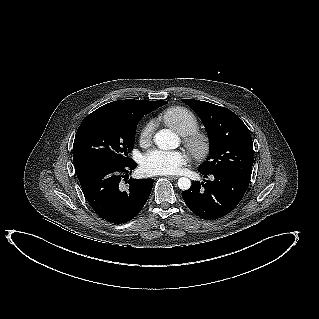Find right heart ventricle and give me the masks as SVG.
Listing matches in <instances>:
<instances>
[{
	"mask_svg": "<svg viewBox=\"0 0 319 319\" xmlns=\"http://www.w3.org/2000/svg\"><path fill=\"white\" fill-rule=\"evenodd\" d=\"M163 122L178 134L186 136L198 130L199 120L189 109L181 106L171 107L162 114Z\"/></svg>",
	"mask_w": 319,
	"mask_h": 319,
	"instance_id": "right-heart-ventricle-1",
	"label": "right heart ventricle"
}]
</instances>
